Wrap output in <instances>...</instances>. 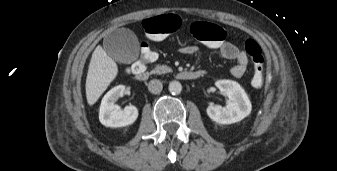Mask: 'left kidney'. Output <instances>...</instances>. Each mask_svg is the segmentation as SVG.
<instances>
[{
    "label": "left kidney",
    "mask_w": 337,
    "mask_h": 171,
    "mask_svg": "<svg viewBox=\"0 0 337 171\" xmlns=\"http://www.w3.org/2000/svg\"><path fill=\"white\" fill-rule=\"evenodd\" d=\"M215 85L229 98V101L226 107L208 106L207 114L213 121L219 124H232L243 120L251 113V102L239 83L232 80H218Z\"/></svg>",
    "instance_id": "obj_1"
}]
</instances>
